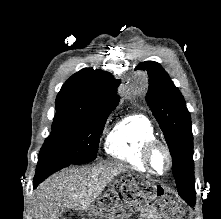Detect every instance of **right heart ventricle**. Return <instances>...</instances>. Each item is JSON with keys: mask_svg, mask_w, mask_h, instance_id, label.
Returning a JSON list of instances; mask_svg holds the SVG:
<instances>
[{"mask_svg": "<svg viewBox=\"0 0 221 219\" xmlns=\"http://www.w3.org/2000/svg\"><path fill=\"white\" fill-rule=\"evenodd\" d=\"M156 139V130L152 121L144 114L135 113L119 121L107 134L106 153L136 170L147 172L142 161L141 151L144 144Z\"/></svg>", "mask_w": 221, "mask_h": 219, "instance_id": "right-heart-ventricle-1", "label": "right heart ventricle"}]
</instances>
